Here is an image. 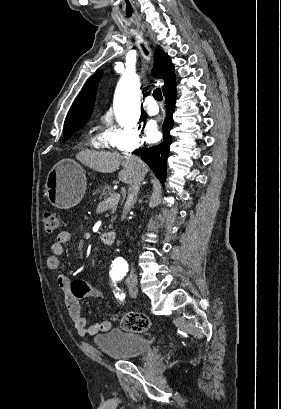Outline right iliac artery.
Segmentation results:
<instances>
[{"instance_id": "right-iliac-artery-1", "label": "right iliac artery", "mask_w": 281, "mask_h": 409, "mask_svg": "<svg viewBox=\"0 0 281 409\" xmlns=\"http://www.w3.org/2000/svg\"><path fill=\"white\" fill-rule=\"evenodd\" d=\"M122 278V277H121ZM116 280H120V277H115Z\"/></svg>"}]
</instances>
